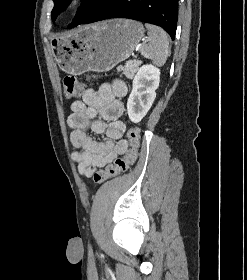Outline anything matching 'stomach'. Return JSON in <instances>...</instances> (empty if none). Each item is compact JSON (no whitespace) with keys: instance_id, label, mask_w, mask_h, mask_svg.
I'll list each match as a JSON object with an SVG mask.
<instances>
[{"instance_id":"1","label":"stomach","mask_w":247,"mask_h":280,"mask_svg":"<svg viewBox=\"0 0 247 280\" xmlns=\"http://www.w3.org/2000/svg\"><path fill=\"white\" fill-rule=\"evenodd\" d=\"M144 36L135 20L114 19L83 26L51 42L60 68L78 75L86 71L106 72L128 59Z\"/></svg>"}]
</instances>
